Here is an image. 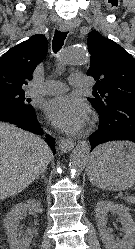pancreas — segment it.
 Segmentation results:
<instances>
[{"instance_id": "1", "label": "pancreas", "mask_w": 135, "mask_h": 249, "mask_svg": "<svg viewBox=\"0 0 135 249\" xmlns=\"http://www.w3.org/2000/svg\"><path fill=\"white\" fill-rule=\"evenodd\" d=\"M126 200L129 203H135V198L134 197H127Z\"/></svg>"}]
</instances>
